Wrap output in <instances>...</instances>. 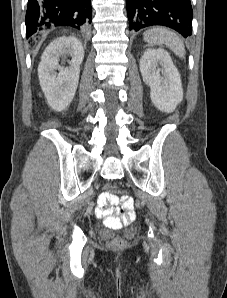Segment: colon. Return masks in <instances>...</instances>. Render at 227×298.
<instances>
[{
    "label": "colon",
    "instance_id": "5ec220e1",
    "mask_svg": "<svg viewBox=\"0 0 227 298\" xmlns=\"http://www.w3.org/2000/svg\"><path fill=\"white\" fill-rule=\"evenodd\" d=\"M118 190L115 186L107 185L106 191L102 193L98 199V206L105 212L104 221L108 227L116 228L122 224V220L114 215L117 212ZM122 201L124 206L131 210L133 208V200L130 196L123 194ZM126 242L123 238L116 236L108 241V246L114 249H120L125 246Z\"/></svg>",
    "mask_w": 227,
    "mask_h": 298
}]
</instances>
